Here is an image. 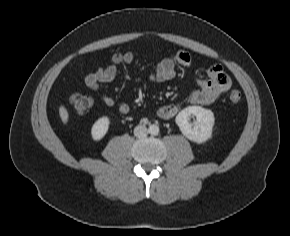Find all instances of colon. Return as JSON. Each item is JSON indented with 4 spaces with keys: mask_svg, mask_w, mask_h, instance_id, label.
Listing matches in <instances>:
<instances>
[{
    "mask_svg": "<svg viewBox=\"0 0 290 236\" xmlns=\"http://www.w3.org/2000/svg\"><path fill=\"white\" fill-rule=\"evenodd\" d=\"M242 95L239 91L233 90L229 94V99L233 103L240 102ZM69 102L72 105L73 109L81 114L86 112L92 106V99L89 96L82 94H73L69 98Z\"/></svg>",
    "mask_w": 290,
    "mask_h": 236,
    "instance_id": "obj_1",
    "label": "colon"
}]
</instances>
